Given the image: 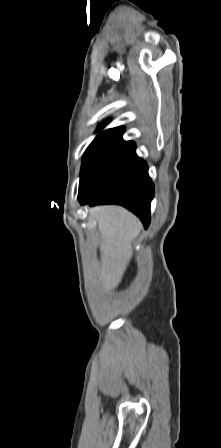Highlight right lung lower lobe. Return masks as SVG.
I'll return each mask as SVG.
<instances>
[{"instance_id": "1", "label": "right lung lower lobe", "mask_w": 221, "mask_h": 448, "mask_svg": "<svg viewBox=\"0 0 221 448\" xmlns=\"http://www.w3.org/2000/svg\"><path fill=\"white\" fill-rule=\"evenodd\" d=\"M135 148V143L128 141L113 149L79 190L78 199L82 205L120 204L147 228L154 185L147 164L136 155Z\"/></svg>"}]
</instances>
